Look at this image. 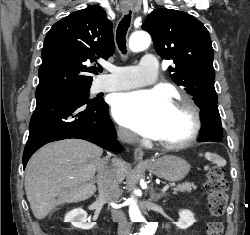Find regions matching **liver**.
<instances>
[{
    "mask_svg": "<svg viewBox=\"0 0 250 235\" xmlns=\"http://www.w3.org/2000/svg\"><path fill=\"white\" fill-rule=\"evenodd\" d=\"M103 150L79 139H66L41 148L26 167L25 191L34 216L44 219L57 206L84 201L96 192L95 172L106 164ZM118 183L128 164L115 161Z\"/></svg>",
    "mask_w": 250,
    "mask_h": 235,
    "instance_id": "6515ba94",
    "label": "liver"
}]
</instances>
